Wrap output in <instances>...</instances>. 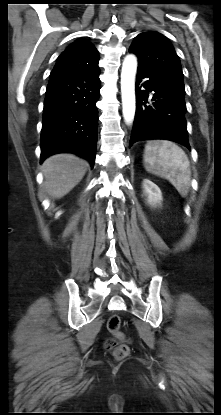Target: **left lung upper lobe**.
Returning a JSON list of instances; mask_svg holds the SVG:
<instances>
[{"label":"left lung upper lobe","instance_id":"left-lung-upper-lobe-1","mask_svg":"<svg viewBox=\"0 0 221 415\" xmlns=\"http://www.w3.org/2000/svg\"><path fill=\"white\" fill-rule=\"evenodd\" d=\"M129 52L137 55L139 70L185 91L179 57L164 35L152 31L140 33L135 37Z\"/></svg>","mask_w":221,"mask_h":415}]
</instances>
